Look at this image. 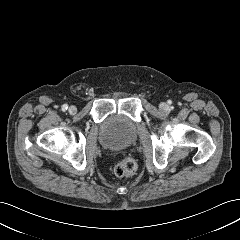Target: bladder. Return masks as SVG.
<instances>
[{
	"mask_svg": "<svg viewBox=\"0 0 240 240\" xmlns=\"http://www.w3.org/2000/svg\"><path fill=\"white\" fill-rule=\"evenodd\" d=\"M100 143L110 150H121L131 146L137 137L133 122L124 115L113 114L100 125Z\"/></svg>",
	"mask_w": 240,
	"mask_h": 240,
	"instance_id": "1",
	"label": "bladder"
}]
</instances>
